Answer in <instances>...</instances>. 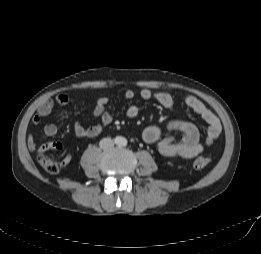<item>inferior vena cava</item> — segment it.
I'll use <instances>...</instances> for the list:
<instances>
[{
    "label": "inferior vena cava",
    "instance_id": "obj_1",
    "mask_svg": "<svg viewBox=\"0 0 261 254\" xmlns=\"http://www.w3.org/2000/svg\"><path fill=\"white\" fill-rule=\"evenodd\" d=\"M100 148L106 150L114 146V141L111 138H103L99 143Z\"/></svg>",
    "mask_w": 261,
    "mask_h": 254
}]
</instances>
